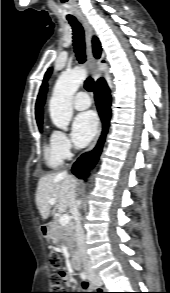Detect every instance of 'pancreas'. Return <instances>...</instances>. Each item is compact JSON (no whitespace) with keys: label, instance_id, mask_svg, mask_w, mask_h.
Wrapping results in <instances>:
<instances>
[{"label":"pancreas","instance_id":"obj_1","mask_svg":"<svg viewBox=\"0 0 170 293\" xmlns=\"http://www.w3.org/2000/svg\"><path fill=\"white\" fill-rule=\"evenodd\" d=\"M51 238L56 244H66L70 247V252L74 253L75 229L73 223L70 222L68 225L62 226L59 220H56L51 226Z\"/></svg>","mask_w":170,"mask_h":293}]
</instances>
